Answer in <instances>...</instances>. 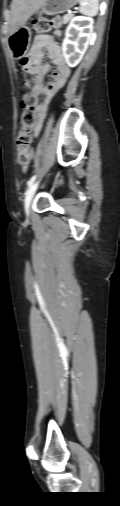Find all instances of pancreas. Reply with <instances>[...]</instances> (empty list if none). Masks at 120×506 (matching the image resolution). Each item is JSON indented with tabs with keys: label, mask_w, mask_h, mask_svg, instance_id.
<instances>
[{
	"label": "pancreas",
	"mask_w": 120,
	"mask_h": 506,
	"mask_svg": "<svg viewBox=\"0 0 120 506\" xmlns=\"http://www.w3.org/2000/svg\"><path fill=\"white\" fill-rule=\"evenodd\" d=\"M72 20V14H66L63 16V23L66 24Z\"/></svg>",
	"instance_id": "obj_1"
}]
</instances>
